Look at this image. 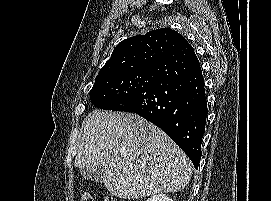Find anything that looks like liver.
<instances>
[{
	"label": "liver",
	"mask_w": 271,
	"mask_h": 201,
	"mask_svg": "<svg viewBox=\"0 0 271 201\" xmlns=\"http://www.w3.org/2000/svg\"><path fill=\"white\" fill-rule=\"evenodd\" d=\"M102 164L111 195L137 199L174 193L192 174L186 154L165 132L133 113L95 110L82 124L74 166Z\"/></svg>",
	"instance_id": "liver-1"
}]
</instances>
